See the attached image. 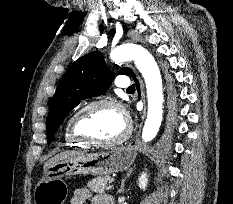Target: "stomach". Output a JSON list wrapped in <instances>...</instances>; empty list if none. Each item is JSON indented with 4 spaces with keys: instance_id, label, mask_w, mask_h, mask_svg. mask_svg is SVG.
Segmentation results:
<instances>
[{
    "instance_id": "obj_1",
    "label": "stomach",
    "mask_w": 233,
    "mask_h": 204,
    "mask_svg": "<svg viewBox=\"0 0 233 204\" xmlns=\"http://www.w3.org/2000/svg\"><path fill=\"white\" fill-rule=\"evenodd\" d=\"M137 151L132 146L72 156L51 164L34 190V204H63L67 188L62 178L72 175L108 176L132 166Z\"/></svg>"
}]
</instances>
